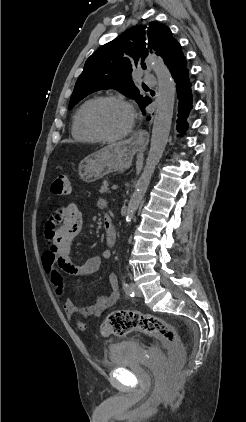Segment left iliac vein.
<instances>
[{
	"mask_svg": "<svg viewBox=\"0 0 246 422\" xmlns=\"http://www.w3.org/2000/svg\"><path fill=\"white\" fill-rule=\"evenodd\" d=\"M131 288H132V290L134 291V294H135L136 296H138V297H141V296H142V291H141V289L137 286V284L132 283V284H131Z\"/></svg>",
	"mask_w": 246,
	"mask_h": 422,
	"instance_id": "4c4485c4",
	"label": "left iliac vein"
}]
</instances>
